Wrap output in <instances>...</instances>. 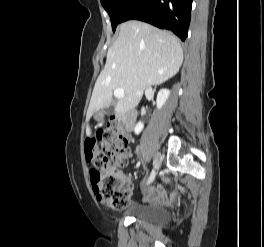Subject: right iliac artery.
<instances>
[{
  "mask_svg": "<svg viewBox=\"0 0 264 247\" xmlns=\"http://www.w3.org/2000/svg\"><path fill=\"white\" fill-rule=\"evenodd\" d=\"M155 175H156L155 171L152 170V172H151V174H150V176H149V178L147 180V183H146L147 185L153 182V180L155 179Z\"/></svg>",
  "mask_w": 264,
  "mask_h": 247,
  "instance_id": "obj_1",
  "label": "right iliac artery"
}]
</instances>
